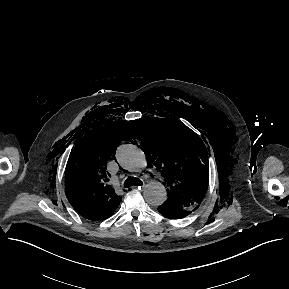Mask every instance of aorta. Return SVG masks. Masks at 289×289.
<instances>
[{"label":"aorta","mask_w":289,"mask_h":289,"mask_svg":"<svg viewBox=\"0 0 289 289\" xmlns=\"http://www.w3.org/2000/svg\"><path fill=\"white\" fill-rule=\"evenodd\" d=\"M116 159L120 166L132 172H142L148 165L144 152L131 144L119 146ZM144 198L148 204L159 206L166 201L167 192L162 183L154 181L146 185Z\"/></svg>","instance_id":"762f6f07"}]
</instances>
